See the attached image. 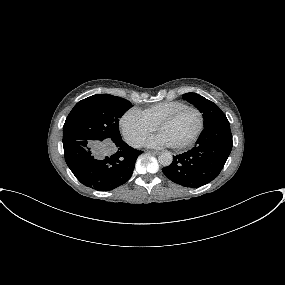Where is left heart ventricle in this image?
Wrapping results in <instances>:
<instances>
[{"label":"left heart ventricle","mask_w":285,"mask_h":285,"mask_svg":"<svg viewBox=\"0 0 285 285\" xmlns=\"http://www.w3.org/2000/svg\"><path fill=\"white\" fill-rule=\"evenodd\" d=\"M199 127V116L191 109L182 111L170 124L159 129L170 146H178L189 140Z\"/></svg>","instance_id":"obj_1"}]
</instances>
